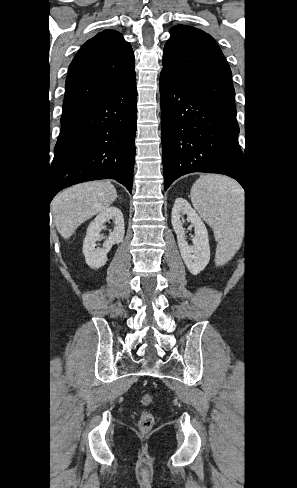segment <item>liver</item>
<instances>
[{"mask_svg": "<svg viewBox=\"0 0 297 488\" xmlns=\"http://www.w3.org/2000/svg\"><path fill=\"white\" fill-rule=\"evenodd\" d=\"M116 198V189L108 181L86 182L62 191L51 203L59 234L70 238L82 223L105 210Z\"/></svg>", "mask_w": 297, "mask_h": 488, "instance_id": "6515ba94", "label": "liver"}]
</instances>
